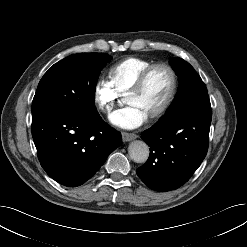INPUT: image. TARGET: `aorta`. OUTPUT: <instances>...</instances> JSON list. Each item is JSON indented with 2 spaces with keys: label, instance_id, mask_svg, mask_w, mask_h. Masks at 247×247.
<instances>
[{
  "label": "aorta",
  "instance_id": "762f6f07",
  "mask_svg": "<svg viewBox=\"0 0 247 247\" xmlns=\"http://www.w3.org/2000/svg\"><path fill=\"white\" fill-rule=\"evenodd\" d=\"M128 153L130 158L136 163H144L149 157L148 145L140 140H135L129 144Z\"/></svg>",
  "mask_w": 247,
  "mask_h": 247
}]
</instances>
